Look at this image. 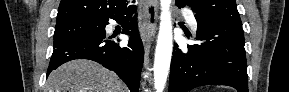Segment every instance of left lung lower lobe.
<instances>
[{"label": "left lung lower lobe", "instance_id": "0a47b994", "mask_svg": "<svg viewBox=\"0 0 289 92\" xmlns=\"http://www.w3.org/2000/svg\"><path fill=\"white\" fill-rule=\"evenodd\" d=\"M184 7L182 2H176ZM197 20L198 44L187 51L175 44L170 66L169 92H186L202 85H226L248 92L244 34L241 26L201 17Z\"/></svg>", "mask_w": 289, "mask_h": 92}]
</instances>
